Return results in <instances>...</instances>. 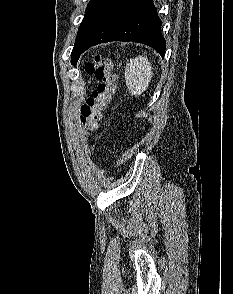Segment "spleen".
Wrapping results in <instances>:
<instances>
[{
    "label": "spleen",
    "mask_w": 233,
    "mask_h": 294,
    "mask_svg": "<svg viewBox=\"0 0 233 294\" xmlns=\"http://www.w3.org/2000/svg\"><path fill=\"white\" fill-rule=\"evenodd\" d=\"M152 77V65L146 56L130 59L125 69V80L131 95L137 97L146 91Z\"/></svg>",
    "instance_id": "1"
}]
</instances>
